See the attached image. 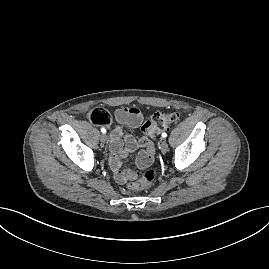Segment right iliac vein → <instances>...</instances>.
<instances>
[{
  "mask_svg": "<svg viewBox=\"0 0 269 269\" xmlns=\"http://www.w3.org/2000/svg\"><path fill=\"white\" fill-rule=\"evenodd\" d=\"M108 139V136L106 134H102L100 137L101 143L105 144Z\"/></svg>",
  "mask_w": 269,
  "mask_h": 269,
  "instance_id": "right-iliac-vein-1",
  "label": "right iliac vein"
}]
</instances>
